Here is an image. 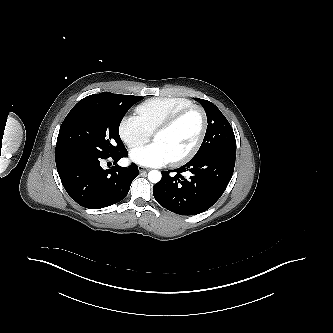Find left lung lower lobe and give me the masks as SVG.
<instances>
[{"instance_id": "obj_1", "label": "left lung lower lobe", "mask_w": 333, "mask_h": 333, "mask_svg": "<svg viewBox=\"0 0 333 333\" xmlns=\"http://www.w3.org/2000/svg\"><path fill=\"white\" fill-rule=\"evenodd\" d=\"M235 157L236 152H212L192 158L174 171H162V179L153 187L156 201L180 215L206 211L224 193L233 175ZM186 171L192 173L188 179L181 174Z\"/></svg>"}]
</instances>
